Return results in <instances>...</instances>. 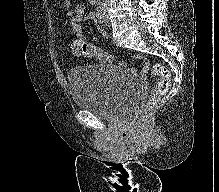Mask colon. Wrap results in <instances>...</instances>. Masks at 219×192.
Returning a JSON list of instances; mask_svg holds the SVG:
<instances>
[{
  "mask_svg": "<svg viewBox=\"0 0 219 192\" xmlns=\"http://www.w3.org/2000/svg\"><path fill=\"white\" fill-rule=\"evenodd\" d=\"M71 51L80 56L89 58H99L105 62H112V56L106 52L101 51L93 42H86L80 38L73 41ZM138 58V57H137ZM150 74L158 76L159 80L154 86L152 93L146 103L144 113L139 118V126H146L150 117L156 111L160 97L165 94L170 86V72L162 64H155Z\"/></svg>",
  "mask_w": 219,
  "mask_h": 192,
  "instance_id": "1",
  "label": "colon"
}]
</instances>
